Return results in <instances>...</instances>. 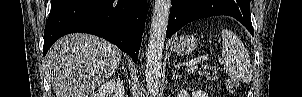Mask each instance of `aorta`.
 I'll list each match as a JSON object with an SVG mask.
<instances>
[{
	"instance_id": "762f6f07",
	"label": "aorta",
	"mask_w": 302,
	"mask_h": 97,
	"mask_svg": "<svg viewBox=\"0 0 302 97\" xmlns=\"http://www.w3.org/2000/svg\"><path fill=\"white\" fill-rule=\"evenodd\" d=\"M171 0H155L150 37L146 51V83L150 95L159 93L162 53L169 20Z\"/></svg>"
}]
</instances>
